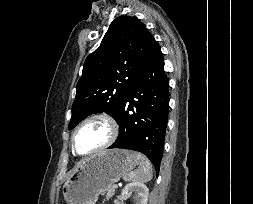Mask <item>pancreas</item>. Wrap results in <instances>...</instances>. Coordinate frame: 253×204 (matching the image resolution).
Here are the masks:
<instances>
[{"instance_id":"pancreas-1","label":"pancreas","mask_w":253,"mask_h":204,"mask_svg":"<svg viewBox=\"0 0 253 204\" xmlns=\"http://www.w3.org/2000/svg\"><path fill=\"white\" fill-rule=\"evenodd\" d=\"M115 193V188L113 186H109L106 191L104 192L106 199H110L113 197Z\"/></svg>"}]
</instances>
